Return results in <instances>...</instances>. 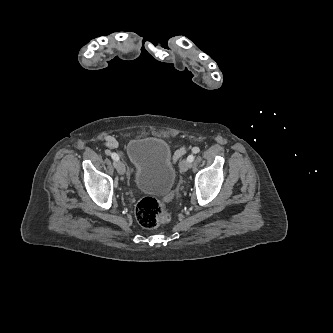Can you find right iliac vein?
<instances>
[{
  "label": "right iliac vein",
  "mask_w": 333,
  "mask_h": 333,
  "mask_svg": "<svg viewBox=\"0 0 333 333\" xmlns=\"http://www.w3.org/2000/svg\"><path fill=\"white\" fill-rule=\"evenodd\" d=\"M115 167H116L117 172H118L120 175H124V174H125L126 168H125V165L123 164V162H121V161H117V162L115 163Z\"/></svg>",
  "instance_id": "63e3f726"
}]
</instances>
